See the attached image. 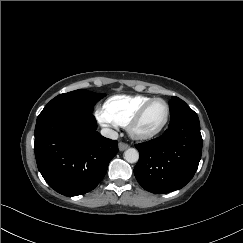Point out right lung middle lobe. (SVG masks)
<instances>
[{
    "label": "right lung middle lobe",
    "instance_id": "1",
    "mask_svg": "<svg viewBox=\"0 0 243 243\" xmlns=\"http://www.w3.org/2000/svg\"><path fill=\"white\" fill-rule=\"evenodd\" d=\"M103 97H105V94H98L85 89L60 94L44 107L40 115L55 109H71L92 114L94 105Z\"/></svg>",
    "mask_w": 243,
    "mask_h": 243
}]
</instances>
